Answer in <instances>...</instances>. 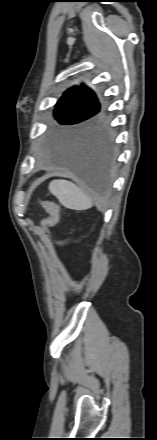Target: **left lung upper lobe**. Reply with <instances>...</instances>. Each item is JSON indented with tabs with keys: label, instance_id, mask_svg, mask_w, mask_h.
<instances>
[{
	"label": "left lung upper lobe",
	"instance_id": "left-lung-upper-lobe-1",
	"mask_svg": "<svg viewBox=\"0 0 157 440\" xmlns=\"http://www.w3.org/2000/svg\"><path fill=\"white\" fill-rule=\"evenodd\" d=\"M99 112V103L93 91L85 86L73 87L63 94L57 102L54 116L61 124H76L73 127V138L107 129Z\"/></svg>",
	"mask_w": 157,
	"mask_h": 440
}]
</instances>
